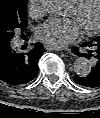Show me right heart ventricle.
<instances>
[{"mask_svg": "<svg viewBox=\"0 0 100 118\" xmlns=\"http://www.w3.org/2000/svg\"><path fill=\"white\" fill-rule=\"evenodd\" d=\"M69 1L73 3V2L76 1V0H69Z\"/></svg>", "mask_w": 100, "mask_h": 118, "instance_id": "obj_1", "label": "right heart ventricle"}]
</instances>
